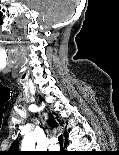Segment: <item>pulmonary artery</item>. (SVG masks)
Listing matches in <instances>:
<instances>
[{"instance_id":"pulmonary-artery-1","label":"pulmonary artery","mask_w":119,"mask_h":155,"mask_svg":"<svg viewBox=\"0 0 119 155\" xmlns=\"http://www.w3.org/2000/svg\"><path fill=\"white\" fill-rule=\"evenodd\" d=\"M51 143L53 144V143H54V141H52ZM50 149L55 150V149H57V147H56V146H51V147H50Z\"/></svg>"}]
</instances>
